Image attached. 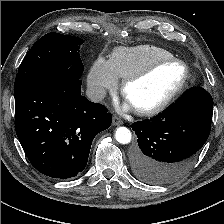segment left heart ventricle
I'll return each instance as SVG.
<instances>
[{"instance_id": "b2bd125f", "label": "left heart ventricle", "mask_w": 224, "mask_h": 224, "mask_svg": "<svg viewBox=\"0 0 224 224\" xmlns=\"http://www.w3.org/2000/svg\"><path fill=\"white\" fill-rule=\"evenodd\" d=\"M183 74V67L178 63L163 65L148 77L131 84L127 91V100L134 108L153 107L178 86Z\"/></svg>"}]
</instances>
